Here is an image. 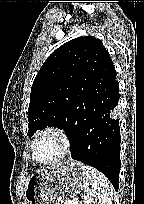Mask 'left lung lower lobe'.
I'll return each instance as SVG.
<instances>
[{"instance_id":"left-lung-lower-lobe-1","label":"left lung lower lobe","mask_w":144,"mask_h":204,"mask_svg":"<svg viewBox=\"0 0 144 204\" xmlns=\"http://www.w3.org/2000/svg\"><path fill=\"white\" fill-rule=\"evenodd\" d=\"M116 75L112 60L97 67L79 128L69 140L72 158L98 169L117 191L121 136L119 120L113 114L120 97Z\"/></svg>"}]
</instances>
